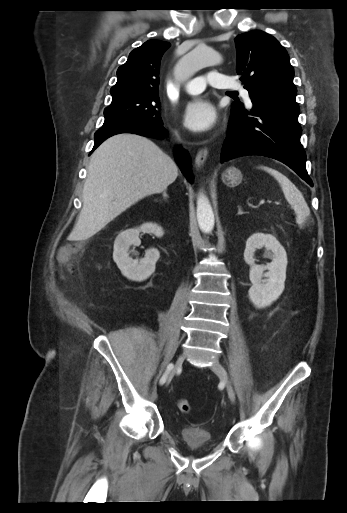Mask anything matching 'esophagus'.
I'll return each instance as SVG.
<instances>
[{
  "mask_svg": "<svg viewBox=\"0 0 347 513\" xmlns=\"http://www.w3.org/2000/svg\"><path fill=\"white\" fill-rule=\"evenodd\" d=\"M208 150L206 148L200 149L195 158V164L198 168L202 167L207 159Z\"/></svg>",
  "mask_w": 347,
  "mask_h": 513,
  "instance_id": "obj_1",
  "label": "esophagus"
}]
</instances>
